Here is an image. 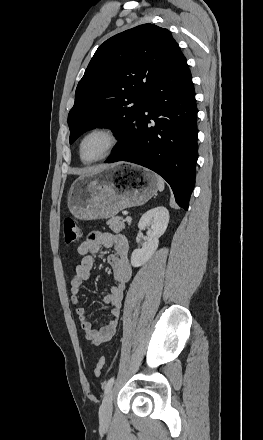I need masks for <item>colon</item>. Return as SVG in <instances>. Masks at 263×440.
Listing matches in <instances>:
<instances>
[{"label": "colon", "instance_id": "colon-1", "mask_svg": "<svg viewBox=\"0 0 263 440\" xmlns=\"http://www.w3.org/2000/svg\"><path fill=\"white\" fill-rule=\"evenodd\" d=\"M64 243L66 245L75 244L80 237V228L77 222L71 218H67L63 223ZM105 364L104 357H100L94 367V374L99 377L102 374Z\"/></svg>", "mask_w": 263, "mask_h": 440}]
</instances>
